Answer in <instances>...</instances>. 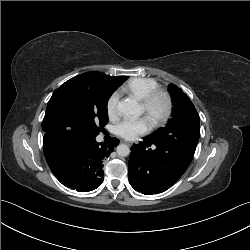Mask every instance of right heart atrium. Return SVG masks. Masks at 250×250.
Segmentation results:
<instances>
[{"label":"right heart atrium","instance_id":"d8ad5b80","mask_svg":"<svg viewBox=\"0 0 250 250\" xmlns=\"http://www.w3.org/2000/svg\"><path fill=\"white\" fill-rule=\"evenodd\" d=\"M120 94L115 91L113 92L106 102V111L109 117L114 118L118 116V102H119Z\"/></svg>","mask_w":250,"mask_h":250}]
</instances>
